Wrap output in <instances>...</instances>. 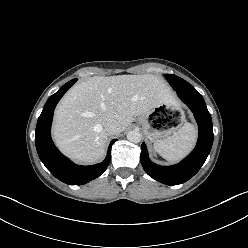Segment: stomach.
<instances>
[{
  "label": "stomach",
  "mask_w": 248,
  "mask_h": 248,
  "mask_svg": "<svg viewBox=\"0 0 248 248\" xmlns=\"http://www.w3.org/2000/svg\"><path fill=\"white\" fill-rule=\"evenodd\" d=\"M176 120L184 121V112L177 104H161L139 117V123L150 142L165 139L173 133L178 128L172 125Z\"/></svg>",
  "instance_id": "stomach-1"
}]
</instances>
